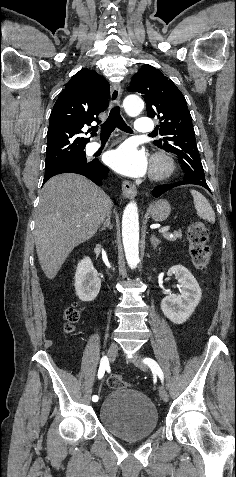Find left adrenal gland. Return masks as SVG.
Segmentation results:
<instances>
[{
    "mask_svg": "<svg viewBox=\"0 0 236 477\" xmlns=\"http://www.w3.org/2000/svg\"><path fill=\"white\" fill-rule=\"evenodd\" d=\"M160 242H161V241H160L159 239H157V238L155 237V235H152V236H151V244H152V246H153L154 249L157 248V246H158V244H160Z\"/></svg>",
    "mask_w": 236,
    "mask_h": 477,
    "instance_id": "a2214340",
    "label": "left adrenal gland"
}]
</instances>
